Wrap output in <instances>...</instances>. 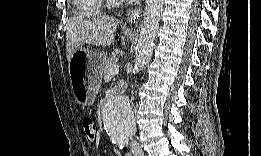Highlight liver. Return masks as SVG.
I'll return each mask as SVG.
<instances>
[{
  "label": "liver",
  "instance_id": "1",
  "mask_svg": "<svg viewBox=\"0 0 261 156\" xmlns=\"http://www.w3.org/2000/svg\"><path fill=\"white\" fill-rule=\"evenodd\" d=\"M118 20L109 15L72 17L66 27V56L70 63L73 53L83 44L109 47L115 40Z\"/></svg>",
  "mask_w": 261,
  "mask_h": 156
}]
</instances>
